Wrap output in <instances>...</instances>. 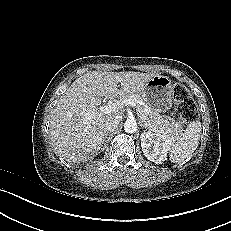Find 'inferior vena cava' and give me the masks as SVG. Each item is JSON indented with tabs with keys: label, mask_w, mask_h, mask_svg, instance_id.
<instances>
[{
	"label": "inferior vena cava",
	"mask_w": 231,
	"mask_h": 231,
	"mask_svg": "<svg viewBox=\"0 0 231 231\" xmlns=\"http://www.w3.org/2000/svg\"><path fill=\"white\" fill-rule=\"evenodd\" d=\"M120 118H109L106 120L105 122V128L108 131L113 130L114 128H116L120 122Z\"/></svg>",
	"instance_id": "obj_1"
}]
</instances>
